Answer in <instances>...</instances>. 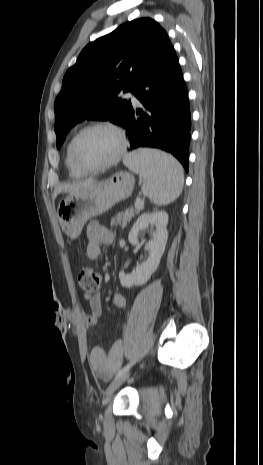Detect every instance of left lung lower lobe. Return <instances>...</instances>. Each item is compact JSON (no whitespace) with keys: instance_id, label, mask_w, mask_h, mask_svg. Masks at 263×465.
<instances>
[{"instance_id":"left-lung-lower-lobe-1","label":"left lung lower lobe","mask_w":263,"mask_h":465,"mask_svg":"<svg viewBox=\"0 0 263 465\" xmlns=\"http://www.w3.org/2000/svg\"><path fill=\"white\" fill-rule=\"evenodd\" d=\"M144 109L133 108L122 124L130 149L160 148L174 155L188 172L191 114L188 94L175 50L170 42L132 89Z\"/></svg>"}]
</instances>
